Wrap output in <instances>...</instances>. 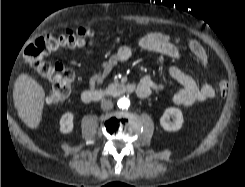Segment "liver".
<instances>
[{
	"label": "liver",
	"instance_id": "6515ba94",
	"mask_svg": "<svg viewBox=\"0 0 245 187\" xmlns=\"http://www.w3.org/2000/svg\"><path fill=\"white\" fill-rule=\"evenodd\" d=\"M14 105L18 116L27 127L35 129L42 119L45 91L27 74H20L13 90Z\"/></svg>",
	"mask_w": 245,
	"mask_h": 187
}]
</instances>
